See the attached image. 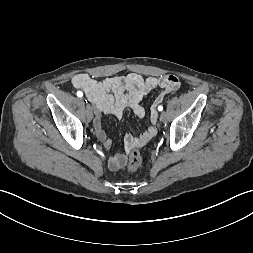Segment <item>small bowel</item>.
<instances>
[{
	"instance_id": "obj_1",
	"label": "small bowel",
	"mask_w": 253,
	"mask_h": 253,
	"mask_svg": "<svg viewBox=\"0 0 253 253\" xmlns=\"http://www.w3.org/2000/svg\"><path fill=\"white\" fill-rule=\"evenodd\" d=\"M72 85L76 89L83 90L92 103L95 110L93 122L95 135L104 147L109 149L112 146V141L102 127V114H111L121 118L124 110L129 108L137 117L142 118L146 114L141 105L144 96L157 87L161 88L155 99V104H157L163 100L166 94L177 91L181 83L178 77L172 74L143 77L137 73H130L125 76H113L97 81L86 73H80L72 78ZM157 117L156 109L152 108L146 130L138 136L132 133L125 136L124 152L117 153L110 158V169L122 168L131 149L144 146L156 135Z\"/></svg>"
}]
</instances>
